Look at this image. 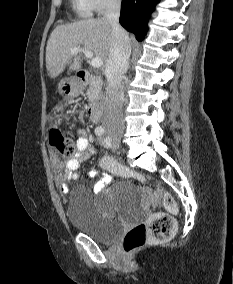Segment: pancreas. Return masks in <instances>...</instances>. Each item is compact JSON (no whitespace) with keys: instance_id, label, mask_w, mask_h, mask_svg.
<instances>
[{"instance_id":"1","label":"pancreas","mask_w":233,"mask_h":284,"mask_svg":"<svg viewBox=\"0 0 233 284\" xmlns=\"http://www.w3.org/2000/svg\"><path fill=\"white\" fill-rule=\"evenodd\" d=\"M88 101L94 103L102 98V93L98 92V89L93 80L90 82V87L87 91Z\"/></svg>"}]
</instances>
